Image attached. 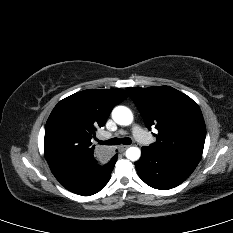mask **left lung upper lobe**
Here are the masks:
<instances>
[{
	"label": "left lung upper lobe",
	"mask_w": 233,
	"mask_h": 233,
	"mask_svg": "<svg viewBox=\"0 0 233 233\" xmlns=\"http://www.w3.org/2000/svg\"><path fill=\"white\" fill-rule=\"evenodd\" d=\"M149 129L158 130L155 151H178L202 156L206 127L199 106L169 86L127 88Z\"/></svg>",
	"instance_id": "obj_1"
}]
</instances>
